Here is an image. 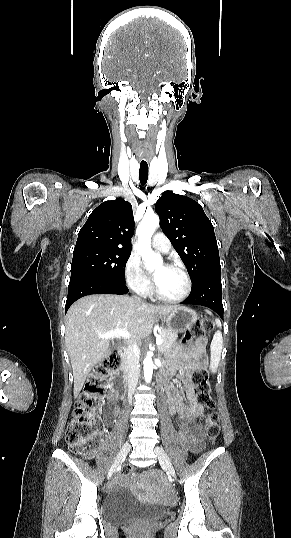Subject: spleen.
I'll use <instances>...</instances> for the list:
<instances>
[{
    "label": "spleen",
    "mask_w": 291,
    "mask_h": 538,
    "mask_svg": "<svg viewBox=\"0 0 291 538\" xmlns=\"http://www.w3.org/2000/svg\"><path fill=\"white\" fill-rule=\"evenodd\" d=\"M216 324L220 326V321L216 320ZM210 352V370L215 373L217 371L222 352V333L220 330L217 331L213 336V339L210 344Z\"/></svg>",
    "instance_id": "3e777b00"
}]
</instances>
